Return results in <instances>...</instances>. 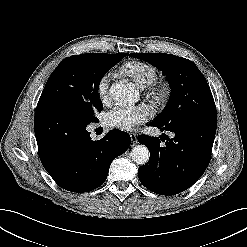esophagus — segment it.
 Masks as SVG:
<instances>
[{
  "label": "esophagus",
  "mask_w": 247,
  "mask_h": 247,
  "mask_svg": "<svg viewBox=\"0 0 247 247\" xmlns=\"http://www.w3.org/2000/svg\"><path fill=\"white\" fill-rule=\"evenodd\" d=\"M130 137H131L132 144L136 145L138 143L137 135L134 132H131Z\"/></svg>",
  "instance_id": "34e87169"
}]
</instances>
